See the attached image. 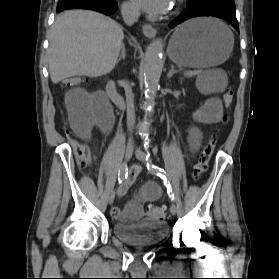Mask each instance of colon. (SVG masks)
<instances>
[{
  "label": "colon",
  "mask_w": 279,
  "mask_h": 279,
  "mask_svg": "<svg viewBox=\"0 0 279 279\" xmlns=\"http://www.w3.org/2000/svg\"><path fill=\"white\" fill-rule=\"evenodd\" d=\"M87 82V78L84 76H72L63 79L60 82L61 88H75ZM234 99V92L232 89H228L224 96L223 102L225 107H229ZM227 122V116H223L221 123ZM69 134V132H68ZM216 135H210L205 144L203 145L193 168V177L199 179L208 169L210 158L213 154L216 145ZM74 154L77 164L81 168H88L93 164L94 153L90 146L87 144L76 143L74 146ZM147 214L154 219H163L167 216L166 208L157 205H149L147 207Z\"/></svg>",
  "instance_id": "colon-1"
}]
</instances>
